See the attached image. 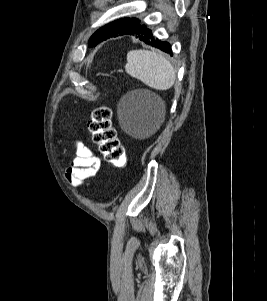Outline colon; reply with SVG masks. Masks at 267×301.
Segmentation results:
<instances>
[{
    "label": "colon",
    "mask_w": 267,
    "mask_h": 301,
    "mask_svg": "<svg viewBox=\"0 0 267 301\" xmlns=\"http://www.w3.org/2000/svg\"><path fill=\"white\" fill-rule=\"evenodd\" d=\"M88 129L105 160L115 167L124 168L127 165L125 149L112 126L108 107L99 106L91 112Z\"/></svg>",
    "instance_id": "obj_1"
}]
</instances>
